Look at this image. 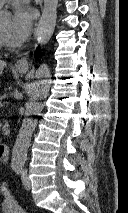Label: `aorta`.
<instances>
[{"label": "aorta", "mask_w": 128, "mask_h": 213, "mask_svg": "<svg viewBox=\"0 0 128 213\" xmlns=\"http://www.w3.org/2000/svg\"><path fill=\"white\" fill-rule=\"evenodd\" d=\"M58 0H44V8L36 28V39L40 45L48 43L53 35L57 19ZM7 13L0 12V19L6 18ZM36 81L29 93L26 104L25 118L17 135L11 157V167L24 166L31 137L37 125L35 116L43 109L42 100L47 97L50 89V70L47 64H41L36 70Z\"/></svg>", "instance_id": "1"}]
</instances>
